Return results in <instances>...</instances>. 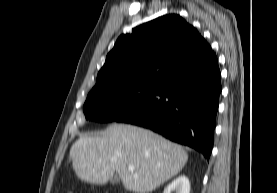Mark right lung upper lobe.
<instances>
[{
    "label": "right lung upper lobe",
    "instance_id": "obj_1",
    "mask_svg": "<svg viewBox=\"0 0 277 193\" xmlns=\"http://www.w3.org/2000/svg\"><path fill=\"white\" fill-rule=\"evenodd\" d=\"M212 53L197 29L181 16L164 15L117 39L91 92L136 85L158 88Z\"/></svg>",
    "mask_w": 277,
    "mask_h": 193
}]
</instances>
